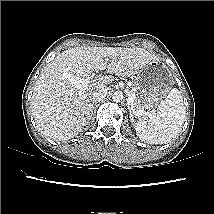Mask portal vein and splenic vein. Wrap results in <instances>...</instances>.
I'll return each mask as SVG.
<instances>
[{"instance_id":"1","label":"portal vein and splenic vein","mask_w":214,"mask_h":214,"mask_svg":"<svg viewBox=\"0 0 214 214\" xmlns=\"http://www.w3.org/2000/svg\"><path fill=\"white\" fill-rule=\"evenodd\" d=\"M63 78L64 79H68L71 81L72 84H74V86L77 88V89H80V90H85L88 85L92 82L95 81V78L93 77H89V78H86V79H82L80 77H76V76H72L66 72L63 73ZM127 103L128 105H133L134 103V98L129 95L128 98H127ZM144 110H138L136 111L134 114L138 117L142 116L144 114Z\"/></svg>"}]
</instances>
